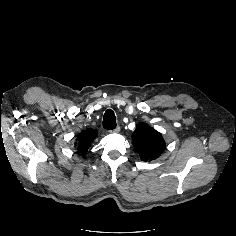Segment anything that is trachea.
Instances as JSON below:
<instances>
[{"mask_svg":"<svg viewBox=\"0 0 236 236\" xmlns=\"http://www.w3.org/2000/svg\"><path fill=\"white\" fill-rule=\"evenodd\" d=\"M103 127L107 130H113L116 128V117L111 109H108L104 114Z\"/></svg>","mask_w":236,"mask_h":236,"instance_id":"3493384b","label":"trachea"}]
</instances>
